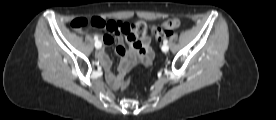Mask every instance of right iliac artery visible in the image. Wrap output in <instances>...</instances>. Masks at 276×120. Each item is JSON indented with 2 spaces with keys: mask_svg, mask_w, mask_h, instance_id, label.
<instances>
[{
  "mask_svg": "<svg viewBox=\"0 0 276 120\" xmlns=\"http://www.w3.org/2000/svg\"><path fill=\"white\" fill-rule=\"evenodd\" d=\"M94 40L96 41V42H95V47H96V48H100L102 44H101L100 42L97 43V42H98V37L95 36V37H94Z\"/></svg>",
  "mask_w": 276,
  "mask_h": 120,
  "instance_id": "1",
  "label": "right iliac artery"
}]
</instances>
